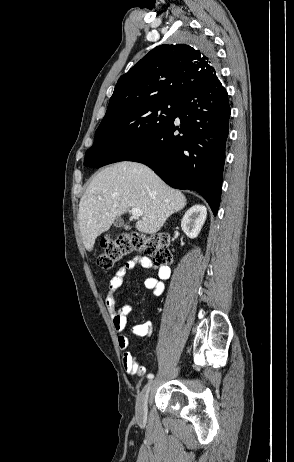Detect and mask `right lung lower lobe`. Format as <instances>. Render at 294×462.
Returning <instances> with one entry per match:
<instances>
[{
	"instance_id": "1",
	"label": "right lung lower lobe",
	"mask_w": 294,
	"mask_h": 462,
	"mask_svg": "<svg viewBox=\"0 0 294 462\" xmlns=\"http://www.w3.org/2000/svg\"><path fill=\"white\" fill-rule=\"evenodd\" d=\"M229 117L228 95L216 78L187 92L175 117L125 160L149 166L173 188L197 191L216 215ZM105 164L100 153L84 161L89 167L99 168Z\"/></svg>"
}]
</instances>
